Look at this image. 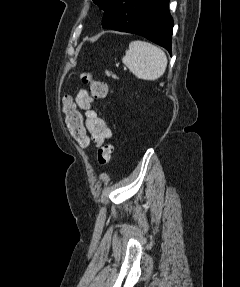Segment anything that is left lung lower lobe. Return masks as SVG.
I'll return each mask as SVG.
<instances>
[{
  "instance_id": "1",
  "label": "left lung lower lobe",
  "mask_w": 240,
  "mask_h": 287,
  "mask_svg": "<svg viewBox=\"0 0 240 287\" xmlns=\"http://www.w3.org/2000/svg\"><path fill=\"white\" fill-rule=\"evenodd\" d=\"M169 0H109L104 8L102 26L138 34L171 53L173 20Z\"/></svg>"
}]
</instances>
